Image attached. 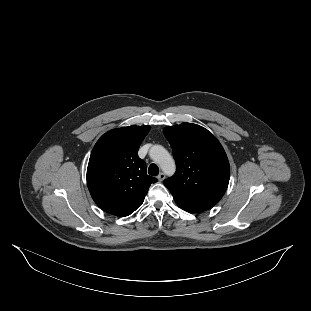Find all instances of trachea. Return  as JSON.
<instances>
[{"label":"trachea","mask_w":311,"mask_h":311,"mask_svg":"<svg viewBox=\"0 0 311 311\" xmlns=\"http://www.w3.org/2000/svg\"><path fill=\"white\" fill-rule=\"evenodd\" d=\"M148 174L151 176H157L159 174V168L156 164L152 163L148 168Z\"/></svg>","instance_id":"3493384b"}]
</instances>
